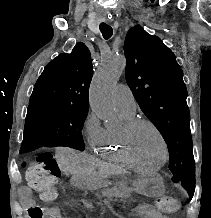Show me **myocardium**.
Here are the masks:
<instances>
[{
  "label": "myocardium",
  "instance_id": "myocardium-1",
  "mask_svg": "<svg viewBox=\"0 0 211 218\" xmlns=\"http://www.w3.org/2000/svg\"><path fill=\"white\" fill-rule=\"evenodd\" d=\"M142 125L149 126L151 129H153L160 140L162 150H163V158L157 166H153V165H149V164H145L141 162L133 153L132 135L134 131ZM120 135H121L122 145L125 150V153L127 154V156L129 157L132 163L137 164L139 166H144L149 169H153L155 167L161 166L166 161L167 144H166L164 135L161 132V130L158 128V126L155 123H153L151 120L144 119V118H133L125 123V125L120 130Z\"/></svg>",
  "mask_w": 211,
  "mask_h": 218
}]
</instances>
